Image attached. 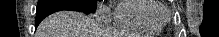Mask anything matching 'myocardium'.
Returning a JSON list of instances; mask_svg holds the SVG:
<instances>
[{
  "label": "myocardium",
  "instance_id": "myocardium-1",
  "mask_svg": "<svg viewBox=\"0 0 219 37\" xmlns=\"http://www.w3.org/2000/svg\"><path fill=\"white\" fill-rule=\"evenodd\" d=\"M156 18L162 22H166L169 19V12L164 10L163 8H160L157 12H156Z\"/></svg>",
  "mask_w": 219,
  "mask_h": 37
}]
</instances>
